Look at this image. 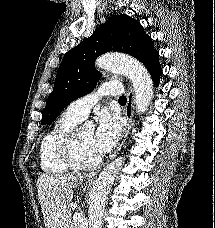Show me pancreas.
Masks as SVG:
<instances>
[{
	"label": "pancreas",
	"mask_w": 215,
	"mask_h": 228,
	"mask_svg": "<svg viewBox=\"0 0 215 228\" xmlns=\"http://www.w3.org/2000/svg\"><path fill=\"white\" fill-rule=\"evenodd\" d=\"M73 228H80V226H78V222H75V220H73Z\"/></svg>",
	"instance_id": "obj_1"
}]
</instances>
